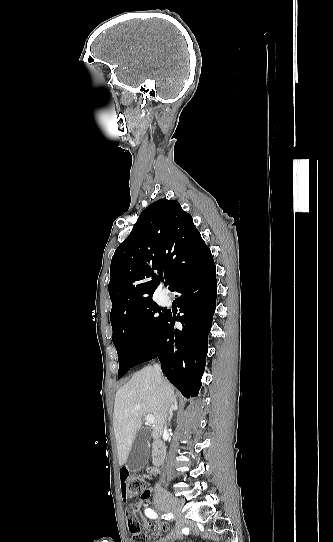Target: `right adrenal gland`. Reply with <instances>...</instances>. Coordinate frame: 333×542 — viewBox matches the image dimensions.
<instances>
[{
    "label": "right adrenal gland",
    "instance_id": "2a0ac1e0",
    "mask_svg": "<svg viewBox=\"0 0 333 542\" xmlns=\"http://www.w3.org/2000/svg\"><path fill=\"white\" fill-rule=\"evenodd\" d=\"M176 410H178V402H174V404H172V408L171 410H169L168 414H169V418H168V424H170L171 422V418H173V412H176Z\"/></svg>",
    "mask_w": 333,
    "mask_h": 542
}]
</instances>
